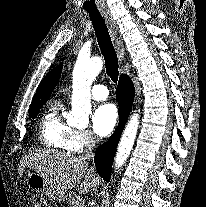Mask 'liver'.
<instances>
[{
	"label": "liver",
	"instance_id": "6515ba94",
	"mask_svg": "<svg viewBox=\"0 0 206 207\" xmlns=\"http://www.w3.org/2000/svg\"><path fill=\"white\" fill-rule=\"evenodd\" d=\"M20 174L24 166L34 169L43 176L54 190L52 199L63 201L66 191L80 184L79 193L86 194L97 190L101 183L95 172L88 168V163L80 157L57 152L38 150L25 155L21 161ZM84 178L83 181H81Z\"/></svg>",
	"mask_w": 206,
	"mask_h": 207
}]
</instances>
